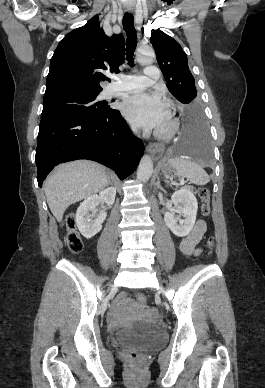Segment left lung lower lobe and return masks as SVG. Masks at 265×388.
Returning <instances> with one entry per match:
<instances>
[{"label":"left lung lower lobe","instance_id":"left-lung-lower-lobe-1","mask_svg":"<svg viewBox=\"0 0 265 388\" xmlns=\"http://www.w3.org/2000/svg\"><path fill=\"white\" fill-rule=\"evenodd\" d=\"M171 152L203 163L211 160L208 126L200 108L185 110L182 134Z\"/></svg>","mask_w":265,"mask_h":388}]
</instances>
